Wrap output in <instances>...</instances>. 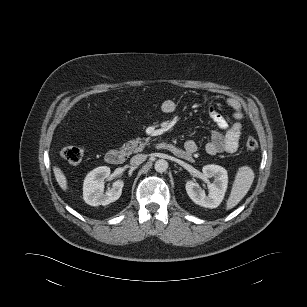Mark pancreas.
Returning <instances> with one entry per match:
<instances>
[{
	"label": "pancreas",
	"mask_w": 307,
	"mask_h": 307,
	"mask_svg": "<svg viewBox=\"0 0 307 307\" xmlns=\"http://www.w3.org/2000/svg\"><path fill=\"white\" fill-rule=\"evenodd\" d=\"M148 142H149V138H146V139L136 138L124 144L122 146V150L127 155H130L132 153L141 152L144 149V147L148 144Z\"/></svg>",
	"instance_id": "cf45deb5"
}]
</instances>
